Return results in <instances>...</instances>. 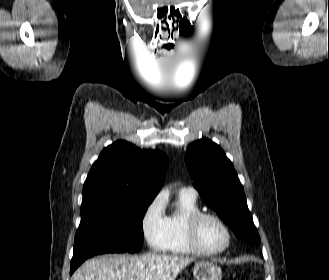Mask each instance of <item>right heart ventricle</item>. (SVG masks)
<instances>
[{
    "label": "right heart ventricle",
    "mask_w": 329,
    "mask_h": 280,
    "mask_svg": "<svg viewBox=\"0 0 329 280\" xmlns=\"http://www.w3.org/2000/svg\"><path fill=\"white\" fill-rule=\"evenodd\" d=\"M200 211L197 198L185 192H180L177 197V207L167 216V232L163 251L174 255H192L186 237L187 219Z\"/></svg>",
    "instance_id": "obj_1"
}]
</instances>
